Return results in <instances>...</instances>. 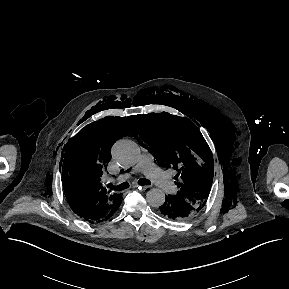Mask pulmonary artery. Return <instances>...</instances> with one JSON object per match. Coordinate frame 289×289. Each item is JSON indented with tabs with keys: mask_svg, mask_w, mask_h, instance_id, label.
I'll use <instances>...</instances> for the list:
<instances>
[{
	"mask_svg": "<svg viewBox=\"0 0 289 289\" xmlns=\"http://www.w3.org/2000/svg\"><path fill=\"white\" fill-rule=\"evenodd\" d=\"M143 173L156 183L161 189L166 192L175 189V186L167 173L161 170L153 161V156L150 152L144 151L140 156L138 163L127 173L119 176L120 180H125L131 176Z\"/></svg>",
	"mask_w": 289,
	"mask_h": 289,
	"instance_id": "1",
	"label": "pulmonary artery"
}]
</instances>
